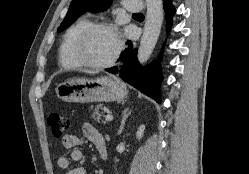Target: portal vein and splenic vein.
Masks as SVG:
<instances>
[{"mask_svg": "<svg viewBox=\"0 0 249 174\" xmlns=\"http://www.w3.org/2000/svg\"><path fill=\"white\" fill-rule=\"evenodd\" d=\"M106 121H112L113 120V116L111 114H107L105 117Z\"/></svg>", "mask_w": 249, "mask_h": 174, "instance_id": "1", "label": "portal vein and splenic vein"}]
</instances>
